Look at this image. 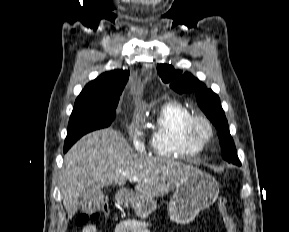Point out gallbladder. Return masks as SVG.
<instances>
[{
  "label": "gallbladder",
  "instance_id": "obj_1",
  "mask_svg": "<svg viewBox=\"0 0 289 232\" xmlns=\"http://www.w3.org/2000/svg\"><path fill=\"white\" fill-rule=\"evenodd\" d=\"M80 210L86 214H92L101 209L104 204V195L101 190L90 188L85 191L80 199Z\"/></svg>",
  "mask_w": 289,
  "mask_h": 232
}]
</instances>
